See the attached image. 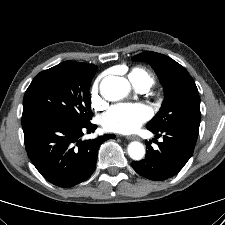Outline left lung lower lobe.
I'll list each match as a JSON object with an SVG mask.
<instances>
[{
    "label": "left lung lower lobe",
    "mask_w": 225,
    "mask_h": 225,
    "mask_svg": "<svg viewBox=\"0 0 225 225\" xmlns=\"http://www.w3.org/2000/svg\"><path fill=\"white\" fill-rule=\"evenodd\" d=\"M150 131L156 137L162 135L163 142L158 143V150H154L151 143L147 142L146 157L132 162V167L138 174L150 180L168 179L177 174L192 156L198 132L175 127Z\"/></svg>",
    "instance_id": "0a47b994"
}]
</instances>
